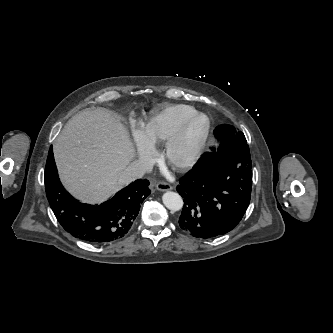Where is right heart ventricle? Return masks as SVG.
<instances>
[{
	"mask_svg": "<svg viewBox=\"0 0 333 333\" xmlns=\"http://www.w3.org/2000/svg\"><path fill=\"white\" fill-rule=\"evenodd\" d=\"M197 110L187 104H169L157 109L144 123L141 133L152 147L167 142L181 122Z\"/></svg>",
	"mask_w": 333,
	"mask_h": 333,
	"instance_id": "e07e8e85",
	"label": "right heart ventricle"
}]
</instances>
